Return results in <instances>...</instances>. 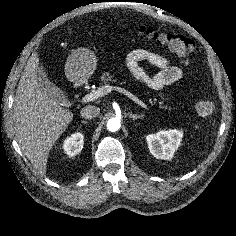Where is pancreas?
<instances>
[{"instance_id":"pancreas-1","label":"pancreas","mask_w":236,"mask_h":236,"mask_svg":"<svg viewBox=\"0 0 236 236\" xmlns=\"http://www.w3.org/2000/svg\"><path fill=\"white\" fill-rule=\"evenodd\" d=\"M113 78H114L113 75H111L109 72H105L100 77V80L102 81L103 84L106 85V84H109L110 82H114L115 80ZM155 101H156V98H154L153 101L150 100L151 104H155ZM159 106L162 109H167L168 108V106L163 105L162 101L159 102ZM168 109L171 110L170 108H168Z\"/></svg>"}]
</instances>
